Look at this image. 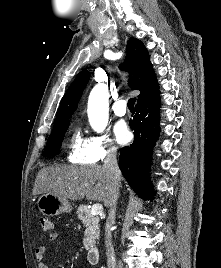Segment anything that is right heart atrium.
I'll use <instances>...</instances> for the list:
<instances>
[{"mask_svg": "<svg viewBox=\"0 0 221 268\" xmlns=\"http://www.w3.org/2000/svg\"><path fill=\"white\" fill-rule=\"evenodd\" d=\"M90 150L95 162H100L116 154L117 147L107 134L89 138Z\"/></svg>", "mask_w": 221, "mask_h": 268, "instance_id": "obj_1", "label": "right heart atrium"}]
</instances>
